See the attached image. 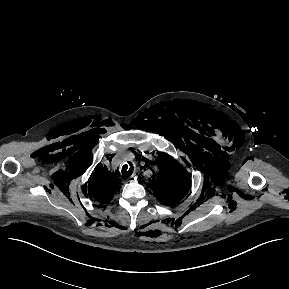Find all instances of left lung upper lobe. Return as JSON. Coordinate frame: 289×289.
<instances>
[{
  "label": "left lung upper lobe",
  "instance_id": "obj_1",
  "mask_svg": "<svg viewBox=\"0 0 289 289\" xmlns=\"http://www.w3.org/2000/svg\"><path fill=\"white\" fill-rule=\"evenodd\" d=\"M162 164H158L157 178L150 180V188L160 203L174 206L187 194L190 187V174L178 162L169 156H160Z\"/></svg>",
  "mask_w": 289,
  "mask_h": 289
}]
</instances>
